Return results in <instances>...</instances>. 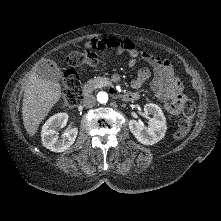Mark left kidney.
I'll return each instance as SVG.
<instances>
[{
    "instance_id": "left-kidney-1",
    "label": "left kidney",
    "mask_w": 221,
    "mask_h": 221,
    "mask_svg": "<svg viewBox=\"0 0 221 221\" xmlns=\"http://www.w3.org/2000/svg\"><path fill=\"white\" fill-rule=\"evenodd\" d=\"M144 113L152 115L148 127L136 120L129 121V129L135 138L144 145H153L164 138L167 126L166 119L161 108L153 103L144 106Z\"/></svg>"
}]
</instances>
